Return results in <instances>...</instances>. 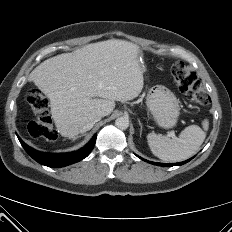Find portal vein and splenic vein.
I'll list each match as a JSON object with an SVG mask.
<instances>
[{
    "label": "portal vein and splenic vein",
    "instance_id": "portal-vein-and-splenic-vein-1",
    "mask_svg": "<svg viewBox=\"0 0 232 232\" xmlns=\"http://www.w3.org/2000/svg\"><path fill=\"white\" fill-rule=\"evenodd\" d=\"M170 136H172V137H173V136H174V133H173V132H171V133H170Z\"/></svg>",
    "mask_w": 232,
    "mask_h": 232
}]
</instances>
